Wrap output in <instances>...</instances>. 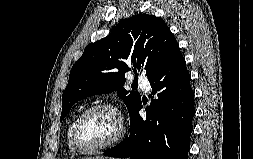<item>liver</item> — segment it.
<instances>
[{
  "instance_id": "liver-1",
  "label": "liver",
  "mask_w": 253,
  "mask_h": 159,
  "mask_svg": "<svg viewBox=\"0 0 253 159\" xmlns=\"http://www.w3.org/2000/svg\"><path fill=\"white\" fill-rule=\"evenodd\" d=\"M82 159H111V158L98 156V157H86V158H82Z\"/></svg>"
}]
</instances>
